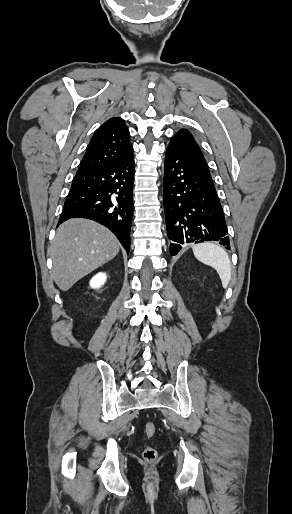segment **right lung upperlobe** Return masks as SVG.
<instances>
[{
  "label": "right lung upper lobe",
  "mask_w": 292,
  "mask_h": 514,
  "mask_svg": "<svg viewBox=\"0 0 292 514\" xmlns=\"http://www.w3.org/2000/svg\"><path fill=\"white\" fill-rule=\"evenodd\" d=\"M133 153L130 133L123 119L107 120L93 135L81 168L100 167L121 161Z\"/></svg>",
  "instance_id": "1"
}]
</instances>
